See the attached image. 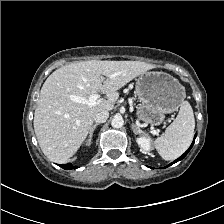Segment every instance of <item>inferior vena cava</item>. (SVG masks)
<instances>
[{"label": "inferior vena cava", "mask_w": 224, "mask_h": 224, "mask_svg": "<svg viewBox=\"0 0 224 224\" xmlns=\"http://www.w3.org/2000/svg\"><path fill=\"white\" fill-rule=\"evenodd\" d=\"M109 117V112L108 111H100L98 112L95 117H94V121L96 123H104L106 122V120Z\"/></svg>", "instance_id": "1"}]
</instances>
